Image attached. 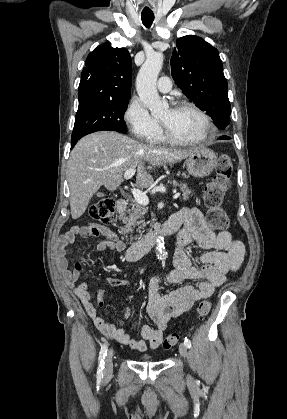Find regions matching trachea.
I'll list each match as a JSON object with an SVG mask.
<instances>
[{
	"instance_id": "1",
	"label": "trachea",
	"mask_w": 287,
	"mask_h": 419,
	"mask_svg": "<svg viewBox=\"0 0 287 419\" xmlns=\"http://www.w3.org/2000/svg\"><path fill=\"white\" fill-rule=\"evenodd\" d=\"M141 19H142V22H143L144 26L146 28H149V27H151V25L154 21V15L153 14H142Z\"/></svg>"
}]
</instances>
